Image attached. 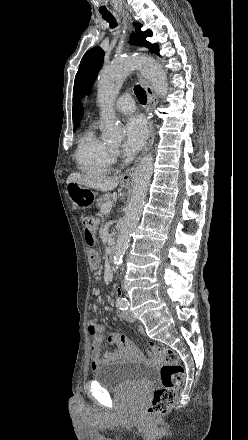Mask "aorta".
I'll return each mask as SVG.
<instances>
[{
    "instance_id": "obj_1",
    "label": "aorta",
    "mask_w": 248,
    "mask_h": 440,
    "mask_svg": "<svg viewBox=\"0 0 248 440\" xmlns=\"http://www.w3.org/2000/svg\"><path fill=\"white\" fill-rule=\"evenodd\" d=\"M135 69H138L151 82L153 89L159 97L168 93L167 76L162 67L153 59L146 57H123L114 60L99 74L97 83V97L102 106V120L104 127L103 139L108 143L120 144L124 134L118 124L111 107L119 94L125 78ZM152 155L145 156L134 174V185L130 202L121 221L118 234L114 263L120 266L134 228L136 227L144 206L150 179L153 171Z\"/></svg>"
}]
</instances>
